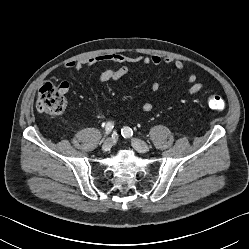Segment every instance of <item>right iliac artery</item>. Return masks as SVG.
Wrapping results in <instances>:
<instances>
[{
	"label": "right iliac artery",
	"mask_w": 249,
	"mask_h": 249,
	"mask_svg": "<svg viewBox=\"0 0 249 249\" xmlns=\"http://www.w3.org/2000/svg\"><path fill=\"white\" fill-rule=\"evenodd\" d=\"M113 127H114V124H113L112 122H108V123L106 124V126H105V135H104L103 140L105 139V137H106L108 134H110V132L112 131ZM103 140H102V141H103Z\"/></svg>",
	"instance_id": "right-iliac-artery-1"
}]
</instances>
